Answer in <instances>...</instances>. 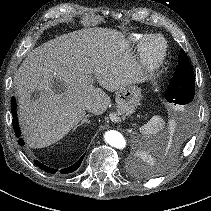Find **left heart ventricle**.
I'll return each instance as SVG.
<instances>
[{"label": "left heart ventricle", "mask_w": 211, "mask_h": 211, "mask_svg": "<svg viewBox=\"0 0 211 211\" xmlns=\"http://www.w3.org/2000/svg\"><path fill=\"white\" fill-rule=\"evenodd\" d=\"M149 51L153 54H156L160 49V42L158 40H150L148 43Z\"/></svg>", "instance_id": "b2bd125f"}]
</instances>
